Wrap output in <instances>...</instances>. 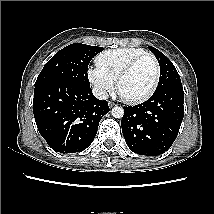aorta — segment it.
Masks as SVG:
<instances>
[{"instance_id":"aorta-1","label":"aorta","mask_w":214,"mask_h":214,"mask_svg":"<svg viewBox=\"0 0 214 214\" xmlns=\"http://www.w3.org/2000/svg\"><path fill=\"white\" fill-rule=\"evenodd\" d=\"M111 114L115 118H122L124 115V109L119 106H115L112 108Z\"/></svg>"}]
</instances>
